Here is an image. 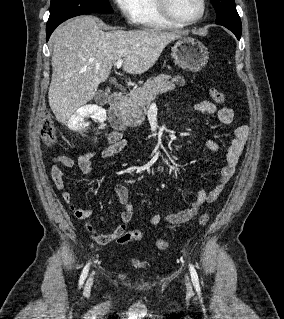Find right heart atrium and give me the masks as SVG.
Masks as SVG:
<instances>
[{
    "label": "right heart atrium",
    "mask_w": 284,
    "mask_h": 319,
    "mask_svg": "<svg viewBox=\"0 0 284 319\" xmlns=\"http://www.w3.org/2000/svg\"><path fill=\"white\" fill-rule=\"evenodd\" d=\"M117 9L131 25L138 24L140 11H141V0H113Z\"/></svg>",
    "instance_id": "d8ad5b80"
}]
</instances>
